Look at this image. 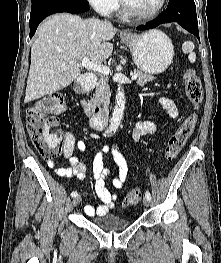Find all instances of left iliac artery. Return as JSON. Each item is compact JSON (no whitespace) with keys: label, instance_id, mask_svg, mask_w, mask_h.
<instances>
[{"label":"left iliac artery","instance_id":"left-iliac-artery-1","mask_svg":"<svg viewBox=\"0 0 221 263\" xmlns=\"http://www.w3.org/2000/svg\"><path fill=\"white\" fill-rule=\"evenodd\" d=\"M145 197H146L148 200H151V194H150L149 191H146Z\"/></svg>","mask_w":221,"mask_h":263}]
</instances>
